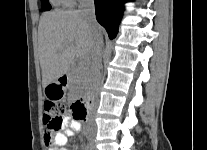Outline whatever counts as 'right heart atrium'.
Returning <instances> with one entry per match:
<instances>
[{
	"label": "right heart atrium",
	"mask_w": 207,
	"mask_h": 150,
	"mask_svg": "<svg viewBox=\"0 0 207 150\" xmlns=\"http://www.w3.org/2000/svg\"><path fill=\"white\" fill-rule=\"evenodd\" d=\"M72 3L74 2V1H76V0H70Z\"/></svg>",
	"instance_id": "obj_1"
}]
</instances>
